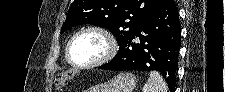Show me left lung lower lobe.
<instances>
[{
  "mask_svg": "<svg viewBox=\"0 0 225 92\" xmlns=\"http://www.w3.org/2000/svg\"><path fill=\"white\" fill-rule=\"evenodd\" d=\"M139 37V42L134 40ZM178 8L166 0L138 27L134 36L124 42L116 56L100 66L106 70H156L161 72L171 91L176 85V70L181 44Z\"/></svg>",
  "mask_w": 225,
  "mask_h": 92,
  "instance_id": "0a47b994",
  "label": "left lung lower lobe"
}]
</instances>
